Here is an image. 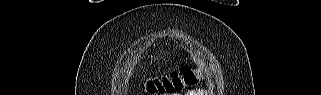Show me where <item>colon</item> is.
Segmentation results:
<instances>
[{"label":"colon","mask_w":321,"mask_h":95,"mask_svg":"<svg viewBox=\"0 0 321 95\" xmlns=\"http://www.w3.org/2000/svg\"><path fill=\"white\" fill-rule=\"evenodd\" d=\"M200 74L193 72L176 73L171 76L155 78L148 82V91L152 94H164L182 91L197 84Z\"/></svg>","instance_id":"5ec220e1"}]
</instances>
